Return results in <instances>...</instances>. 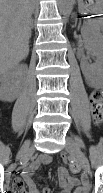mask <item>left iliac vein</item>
<instances>
[{"label":"left iliac vein","mask_w":103,"mask_h":193,"mask_svg":"<svg viewBox=\"0 0 103 193\" xmlns=\"http://www.w3.org/2000/svg\"><path fill=\"white\" fill-rule=\"evenodd\" d=\"M66 150L74 155L76 159L81 163L85 171L90 172V165L85 154L80 150L78 143L72 138H66Z\"/></svg>","instance_id":"4c4485c4"}]
</instances>
